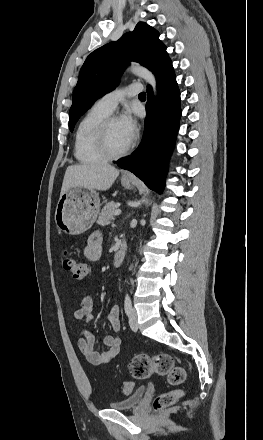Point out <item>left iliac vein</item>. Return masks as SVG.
<instances>
[{
  "mask_svg": "<svg viewBox=\"0 0 263 440\" xmlns=\"http://www.w3.org/2000/svg\"><path fill=\"white\" fill-rule=\"evenodd\" d=\"M129 325L133 331L138 330L137 312L135 309H131V312L129 314Z\"/></svg>",
  "mask_w": 263,
  "mask_h": 440,
  "instance_id": "4c4485c4",
  "label": "left iliac vein"
}]
</instances>
